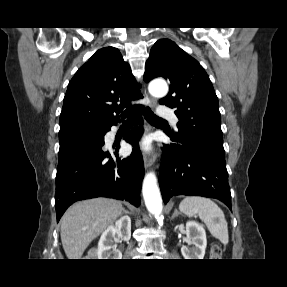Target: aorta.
I'll use <instances>...</instances> for the list:
<instances>
[{
  "label": "aorta",
  "instance_id": "obj_1",
  "mask_svg": "<svg viewBox=\"0 0 287 287\" xmlns=\"http://www.w3.org/2000/svg\"><path fill=\"white\" fill-rule=\"evenodd\" d=\"M148 90L154 97H164L168 92V86L165 81H153L149 84ZM142 193L148 211L157 218L159 223H163L162 198L157 178L153 172L146 174L143 181Z\"/></svg>",
  "mask_w": 287,
  "mask_h": 287
}]
</instances>
